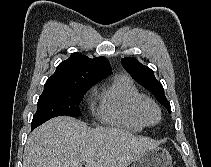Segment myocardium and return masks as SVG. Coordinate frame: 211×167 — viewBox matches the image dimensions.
<instances>
[{
	"label": "myocardium",
	"instance_id": "obj_1",
	"mask_svg": "<svg viewBox=\"0 0 211 167\" xmlns=\"http://www.w3.org/2000/svg\"><path fill=\"white\" fill-rule=\"evenodd\" d=\"M149 107H152L156 110L157 114H158V118L156 121H151L148 119L147 117V109ZM138 114L141 118V120L146 124V125H149V126H154V125H157L158 123H160V121L162 120V111H161V108L160 106L158 105V103L153 100L152 98H149V97H143L139 104H138Z\"/></svg>",
	"mask_w": 211,
	"mask_h": 167
}]
</instances>
